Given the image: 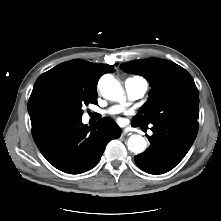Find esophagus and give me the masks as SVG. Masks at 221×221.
<instances>
[{"label":"esophagus","instance_id":"obj_1","mask_svg":"<svg viewBox=\"0 0 221 221\" xmlns=\"http://www.w3.org/2000/svg\"><path fill=\"white\" fill-rule=\"evenodd\" d=\"M128 133H129V129L124 128V129L122 130V134H123V135H126V134H128Z\"/></svg>","mask_w":221,"mask_h":221}]
</instances>
